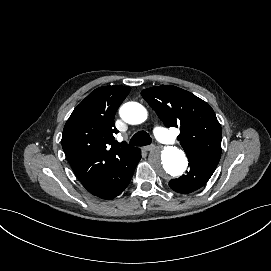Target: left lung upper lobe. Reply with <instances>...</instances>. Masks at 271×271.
<instances>
[{
	"label": "left lung upper lobe",
	"instance_id": "obj_1",
	"mask_svg": "<svg viewBox=\"0 0 271 271\" xmlns=\"http://www.w3.org/2000/svg\"><path fill=\"white\" fill-rule=\"evenodd\" d=\"M141 95L167 127L180 128L177 139L188 159L209 157L219 162L222 129L205 101L172 85L144 89Z\"/></svg>",
	"mask_w": 271,
	"mask_h": 271
}]
</instances>
